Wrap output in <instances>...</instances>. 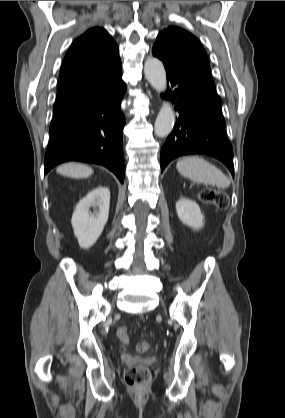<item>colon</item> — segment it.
Returning a JSON list of instances; mask_svg holds the SVG:
<instances>
[{"mask_svg":"<svg viewBox=\"0 0 285 418\" xmlns=\"http://www.w3.org/2000/svg\"><path fill=\"white\" fill-rule=\"evenodd\" d=\"M200 200L204 204L214 205L219 209H224L228 204V196L224 191L215 189L203 190L200 194ZM117 336L119 340L127 344L129 342L128 327L121 325L117 329ZM150 345L147 341H141L137 344L136 349L140 353H145L149 350ZM150 371L147 367L137 365L129 368L124 373L125 382L131 387H143L150 381Z\"/></svg>","mask_w":285,"mask_h":418,"instance_id":"colon-1","label":"colon"}]
</instances>
